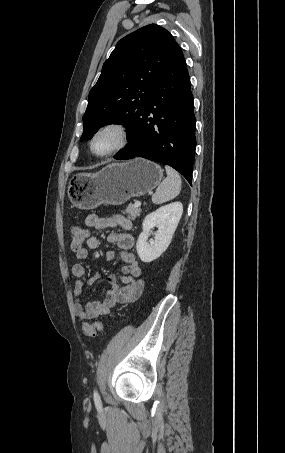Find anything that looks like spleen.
Masks as SVG:
<instances>
[{
	"label": "spleen",
	"instance_id": "1",
	"mask_svg": "<svg viewBox=\"0 0 285 453\" xmlns=\"http://www.w3.org/2000/svg\"><path fill=\"white\" fill-rule=\"evenodd\" d=\"M167 177L158 186L156 192L152 196L154 204H162L169 200L174 199L181 190V177L178 172L169 166H165Z\"/></svg>",
	"mask_w": 285,
	"mask_h": 453
}]
</instances>
